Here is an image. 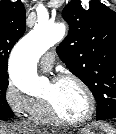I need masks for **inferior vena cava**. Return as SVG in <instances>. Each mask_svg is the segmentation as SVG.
<instances>
[{"label": "inferior vena cava", "instance_id": "inferior-vena-cava-1", "mask_svg": "<svg viewBox=\"0 0 116 134\" xmlns=\"http://www.w3.org/2000/svg\"><path fill=\"white\" fill-rule=\"evenodd\" d=\"M22 128H23L24 130H28V129H31L32 126H31L29 123H27V122H23V123H22Z\"/></svg>", "mask_w": 116, "mask_h": 134}]
</instances>
